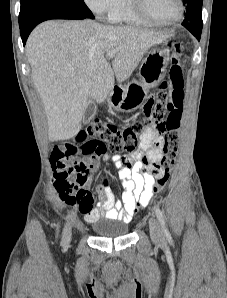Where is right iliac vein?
<instances>
[{"mask_svg": "<svg viewBox=\"0 0 227 298\" xmlns=\"http://www.w3.org/2000/svg\"><path fill=\"white\" fill-rule=\"evenodd\" d=\"M71 235H72L71 226L67 224L63 230V235H62V239L65 245L69 244L71 240Z\"/></svg>", "mask_w": 227, "mask_h": 298, "instance_id": "right-iliac-vein-1", "label": "right iliac vein"}]
</instances>
